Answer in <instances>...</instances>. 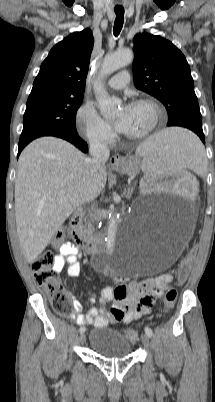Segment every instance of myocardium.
Segmentation results:
<instances>
[{"label": "myocardium", "instance_id": "1", "mask_svg": "<svg viewBox=\"0 0 215 402\" xmlns=\"http://www.w3.org/2000/svg\"><path fill=\"white\" fill-rule=\"evenodd\" d=\"M138 105H147L150 107L152 111V120L150 125L144 131L137 133V134H126V138L130 140H142L150 136L158 127L161 116H162V108L159 103L149 97H142L134 100L131 103V106H138Z\"/></svg>", "mask_w": 215, "mask_h": 402}]
</instances>
